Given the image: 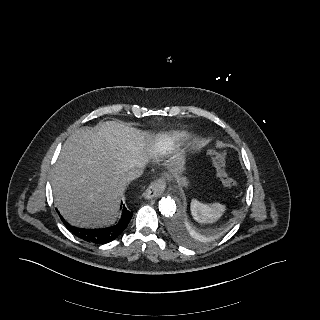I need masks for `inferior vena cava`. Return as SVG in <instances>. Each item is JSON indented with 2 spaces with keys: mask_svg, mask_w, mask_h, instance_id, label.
<instances>
[{
  "mask_svg": "<svg viewBox=\"0 0 320 320\" xmlns=\"http://www.w3.org/2000/svg\"><path fill=\"white\" fill-rule=\"evenodd\" d=\"M142 175V170L141 169H138V168H135V169H131L129 170L127 173H126V180L127 181H131V180H134L138 177H140Z\"/></svg>",
  "mask_w": 320,
  "mask_h": 320,
  "instance_id": "inferior-vena-cava-1",
  "label": "inferior vena cava"
}]
</instances>
